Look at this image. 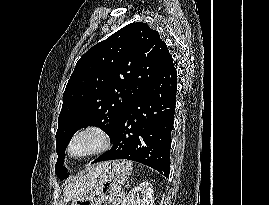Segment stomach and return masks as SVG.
<instances>
[{"label":"stomach","instance_id":"obj_1","mask_svg":"<svg viewBox=\"0 0 269 205\" xmlns=\"http://www.w3.org/2000/svg\"><path fill=\"white\" fill-rule=\"evenodd\" d=\"M132 172V163L126 160L110 162L97 178L95 186L85 195L72 200L71 205H113L120 198L122 186Z\"/></svg>","mask_w":269,"mask_h":205}]
</instances>
